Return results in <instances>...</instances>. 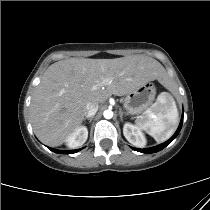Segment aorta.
<instances>
[{
	"label": "aorta",
	"mask_w": 210,
	"mask_h": 210,
	"mask_svg": "<svg viewBox=\"0 0 210 210\" xmlns=\"http://www.w3.org/2000/svg\"><path fill=\"white\" fill-rule=\"evenodd\" d=\"M103 115L106 119H111L113 117V112L111 110H105Z\"/></svg>",
	"instance_id": "obj_1"
}]
</instances>
